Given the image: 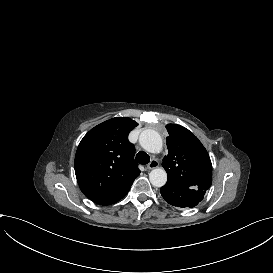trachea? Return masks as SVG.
<instances>
[{"label":"trachea","mask_w":273,"mask_h":273,"mask_svg":"<svg viewBox=\"0 0 273 273\" xmlns=\"http://www.w3.org/2000/svg\"><path fill=\"white\" fill-rule=\"evenodd\" d=\"M136 161L140 164H148L150 162V157L147 153H145L144 151H140L137 153L136 155Z\"/></svg>","instance_id":"1"}]
</instances>
